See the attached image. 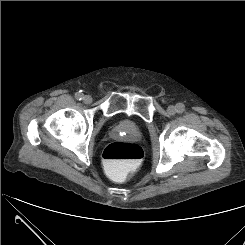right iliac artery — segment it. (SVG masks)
<instances>
[{
	"instance_id": "right-iliac-artery-1",
	"label": "right iliac artery",
	"mask_w": 245,
	"mask_h": 245,
	"mask_svg": "<svg viewBox=\"0 0 245 245\" xmlns=\"http://www.w3.org/2000/svg\"><path fill=\"white\" fill-rule=\"evenodd\" d=\"M75 98H76L77 100H82L83 94L80 93V92H79V93H76Z\"/></svg>"
}]
</instances>
